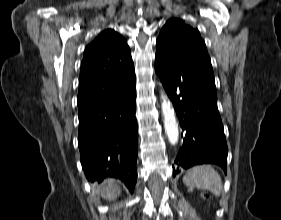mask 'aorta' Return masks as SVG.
<instances>
[{"mask_svg":"<svg viewBox=\"0 0 281 220\" xmlns=\"http://www.w3.org/2000/svg\"><path fill=\"white\" fill-rule=\"evenodd\" d=\"M161 98H162L161 108L164 117L165 132L169 142L172 145H175L179 139V130L175 117V112L168 97L162 93Z\"/></svg>","mask_w":281,"mask_h":220,"instance_id":"obj_1","label":"aorta"}]
</instances>
